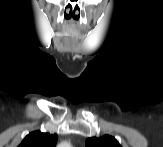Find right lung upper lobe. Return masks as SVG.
I'll use <instances>...</instances> for the list:
<instances>
[{
    "label": "right lung upper lobe",
    "instance_id": "1",
    "mask_svg": "<svg viewBox=\"0 0 163 147\" xmlns=\"http://www.w3.org/2000/svg\"><path fill=\"white\" fill-rule=\"evenodd\" d=\"M57 139L56 134L34 131L28 134L18 147H55Z\"/></svg>",
    "mask_w": 163,
    "mask_h": 147
}]
</instances>
